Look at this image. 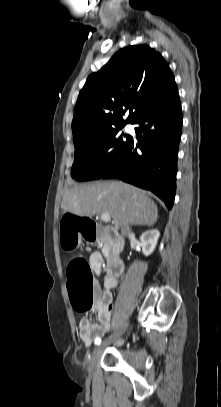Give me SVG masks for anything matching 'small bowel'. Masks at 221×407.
Listing matches in <instances>:
<instances>
[{"mask_svg":"<svg viewBox=\"0 0 221 407\" xmlns=\"http://www.w3.org/2000/svg\"><path fill=\"white\" fill-rule=\"evenodd\" d=\"M89 264L91 270L96 275H100L103 264L102 254L100 252L92 253ZM117 285V276L106 275L102 287L97 286L94 291L93 311L97 314V322H91L87 317H82L79 320L80 337L88 346L96 338L103 336L111 327L112 311L114 309L111 290L116 288Z\"/></svg>","mask_w":221,"mask_h":407,"instance_id":"c3829d8e","label":"small bowel"}]
</instances>
